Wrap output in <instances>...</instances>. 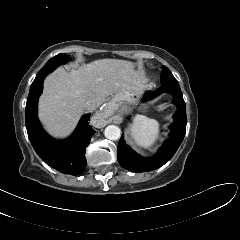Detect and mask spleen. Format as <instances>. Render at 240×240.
<instances>
[{"label":"spleen","instance_id":"1","mask_svg":"<svg viewBox=\"0 0 240 240\" xmlns=\"http://www.w3.org/2000/svg\"><path fill=\"white\" fill-rule=\"evenodd\" d=\"M131 137L143 148H150L159 138V123L148 117L137 115L131 128Z\"/></svg>","mask_w":240,"mask_h":240}]
</instances>
